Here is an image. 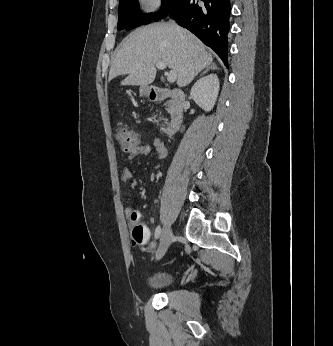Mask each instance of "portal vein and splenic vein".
Returning <instances> with one entry per match:
<instances>
[{
    "label": "portal vein and splenic vein",
    "mask_w": 333,
    "mask_h": 346,
    "mask_svg": "<svg viewBox=\"0 0 333 346\" xmlns=\"http://www.w3.org/2000/svg\"><path fill=\"white\" fill-rule=\"evenodd\" d=\"M156 67L160 70H164L166 68V64H164L163 62H157ZM165 75L167 76L168 82L173 83L176 81V78H177L176 72L170 71L169 73H165Z\"/></svg>",
    "instance_id": "obj_1"
}]
</instances>
